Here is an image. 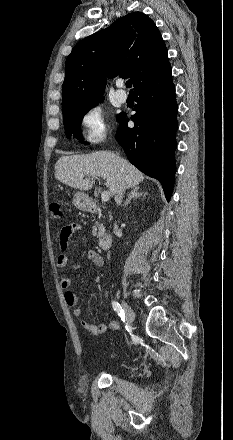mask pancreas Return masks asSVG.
<instances>
[{
	"mask_svg": "<svg viewBox=\"0 0 233 440\" xmlns=\"http://www.w3.org/2000/svg\"><path fill=\"white\" fill-rule=\"evenodd\" d=\"M98 230H104V227H103V225H100V224H96V225H94L93 226V230H92V234L94 235V236H96L97 234H98Z\"/></svg>",
	"mask_w": 233,
	"mask_h": 440,
	"instance_id": "cf45deb5",
	"label": "pancreas"
}]
</instances>
